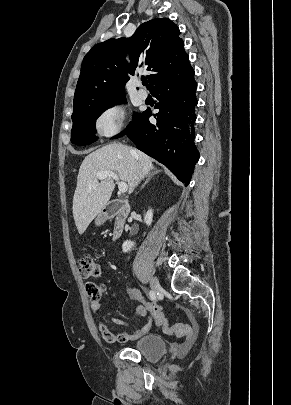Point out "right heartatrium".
Instances as JSON below:
<instances>
[{
  "mask_svg": "<svg viewBox=\"0 0 291 405\" xmlns=\"http://www.w3.org/2000/svg\"><path fill=\"white\" fill-rule=\"evenodd\" d=\"M126 110L121 105H110L96 116L95 132L100 138H109L118 134L124 127Z\"/></svg>",
  "mask_w": 291,
  "mask_h": 405,
  "instance_id": "d8ad5b80",
  "label": "right heart atrium"
}]
</instances>
